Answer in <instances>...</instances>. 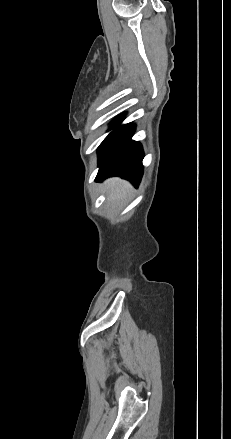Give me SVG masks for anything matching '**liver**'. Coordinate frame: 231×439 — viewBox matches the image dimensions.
Segmentation results:
<instances>
[{
  "mask_svg": "<svg viewBox=\"0 0 231 439\" xmlns=\"http://www.w3.org/2000/svg\"><path fill=\"white\" fill-rule=\"evenodd\" d=\"M105 185L111 200H119L131 189L128 182L119 178H111L106 181Z\"/></svg>",
  "mask_w": 231,
  "mask_h": 439,
  "instance_id": "obj_1",
  "label": "liver"
}]
</instances>
